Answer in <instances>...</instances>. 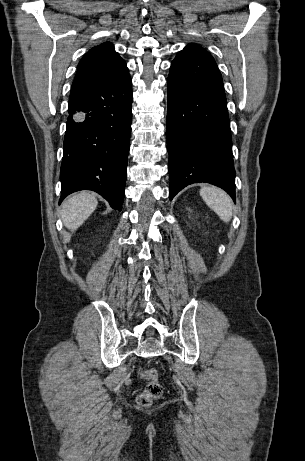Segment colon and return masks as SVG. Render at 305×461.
<instances>
[{"label": "colon", "instance_id": "5ec220e1", "mask_svg": "<svg viewBox=\"0 0 305 461\" xmlns=\"http://www.w3.org/2000/svg\"><path fill=\"white\" fill-rule=\"evenodd\" d=\"M141 377L147 381V384L144 390L137 396V402L142 407H148L155 400L162 397L164 390L157 370H142Z\"/></svg>", "mask_w": 305, "mask_h": 461}]
</instances>
